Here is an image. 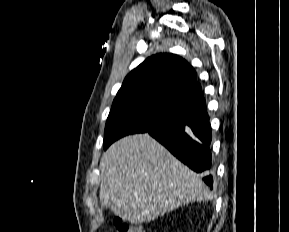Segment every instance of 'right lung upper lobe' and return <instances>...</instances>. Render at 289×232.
<instances>
[{
  "mask_svg": "<svg viewBox=\"0 0 289 232\" xmlns=\"http://www.w3.org/2000/svg\"><path fill=\"white\" fill-rule=\"evenodd\" d=\"M116 98L146 99L182 112L206 105L193 67L177 55L164 53L132 70Z\"/></svg>",
  "mask_w": 289,
  "mask_h": 232,
  "instance_id": "cb5924a9",
  "label": "right lung upper lobe"
}]
</instances>
